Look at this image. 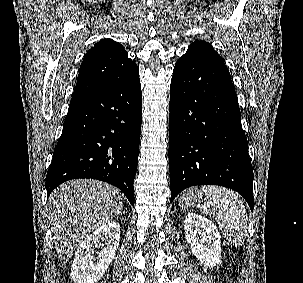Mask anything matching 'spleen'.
<instances>
[{
  "label": "spleen",
  "instance_id": "obj_1",
  "mask_svg": "<svg viewBox=\"0 0 303 283\" xmlns=\"http://www.w3.org/2000/svg\"><path fill=\"white\" fill-rule=\"evenodd\" d=\"M200 193L205 195L200 211L213 216L230 244L241 246L248 234V216L242 200L219 186H203Z\"/></svg>",
  "mask_w": 303,
  "mask_h": 283
}]
</instances>
